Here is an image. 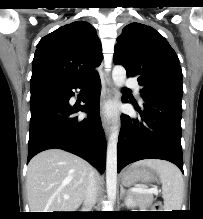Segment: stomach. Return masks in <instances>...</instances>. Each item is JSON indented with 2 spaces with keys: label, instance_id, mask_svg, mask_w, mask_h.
Returning <instances> with one entry per match:
<instances>
[{
  "label": "stomach",
  "instance_id": "1",
  "mask_svg": "<svg viewBox=\"0 0 203 219\" xmlns=\"http://www.w3.org/2000/svg\"><path fill=\"white\" fill-rule=\"evenodd\" d=\"M158 173L147 166H131L122 174V183L131 185L134 183H151L157 180Z\"/></svg>",
  "mask_w": 203,
  "mask_h": 219
}]
</instances>
